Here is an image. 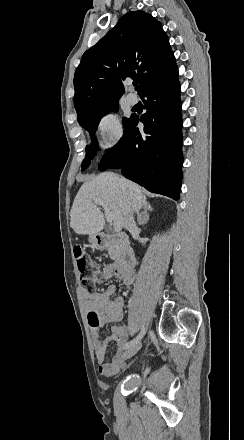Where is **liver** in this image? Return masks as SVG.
Here are the masks:
<instances>
[{
    "label": "liver",
    "instance_id": "1",
    "mask_svg": "<svg viewBox=\"0 0 244 440\" xmlns=\"http://www.w3.org/2000/svg\"><path fill=\"white\" fill-rule=\"evenodd\" d=\"M94 200H104L114 218V232H121L127 208L139 212L146 196L141 188L113 172H103L81 186L72 206L70 226L75 234H98L105 226V218Z\"/></svg>",
    "mask_w": 244,
    "mask_h": 440
}]
</instances>
